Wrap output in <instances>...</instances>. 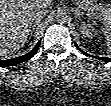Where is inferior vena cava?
Masks as SVG:
<instances>
[{
    "mask_svg": "<svg viewBox=\"0 0 111 106\" xmlns=\"http://www.w3.org/2000/svg\"><path fill=\"white\" fill-rule=\"evenodd\" d=\"M48 14V10L45 6L38 5L32 10V17L35 21H40Z\"/></svg>",
    "mask_w": 111,
    "mask_h": 106,
    "instance_id": "inferior-vena-cava-1",
    "label": "inferior vena cava"
}]
</instances>
